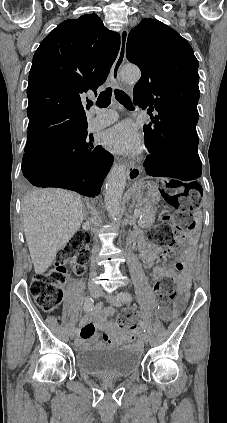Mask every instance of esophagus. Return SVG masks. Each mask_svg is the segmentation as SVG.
Returning a JSON list of instances; mask_svg holds the SVG:
<instances>
[{
    "label": "esophagus",
    "mask_w": 227,
    "mask_h": 423,
    "mask_svg": "<svg viewBox=\"0 0 227 423\" xmlns=\"http://www.w3.org/2000/svg\"><path fill=\"white\" fill-rule=\"evenodd\" d=\"M128 37V30L123 28L120 32V50L118 56L111 68L110 77L111 81L115 84H119V72L120 68L126 59V43ZM141 170L138 165L134 162H129L127 165V177L129 181H135L140 177Z\"/></svg>",
    "instance_id": "obj_1"
}]
</instances>
